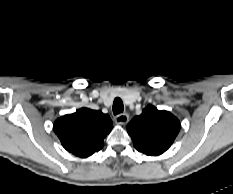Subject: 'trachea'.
I'll return each mask as SVG.
<instances>
[{
  "mask_svg": "<svg viewBox=\"0 0 233 194\" xmlns=\"http://www.w3.org/2000/svg\"><path fill=\"white\" fill-rule=\"evenodd\" d=\"M113 113L114 115H117V114H120L123 112L124 110V105H123V102L120 98H115L114 102H113Z\"/></svg>",
  "mask_w": 233,
  "mask_h": 194,
  "instance_id": "trachea-1",
  "label": "trachea"
}]
</instances>
